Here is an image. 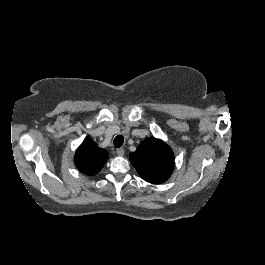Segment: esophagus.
Wrapping results in <instances>:
<instances>
[{
    "instance_id": "esophagus-1",
    "label": "esophagus",
    "mask_w": 265,
    "mask_h": 265,
    "mask_svg": "<svg viewBox=\"0 0 265 265\" xmlns=\"http://www.w3.org/2000/svg\"><path fill=\"white\" fill-rule=\"evenodd\" d=\"M116 152H117V155L120 156V157H122L124 155V149L123 148H118L116 150Z\"/></svg>"
}]
</instances>
